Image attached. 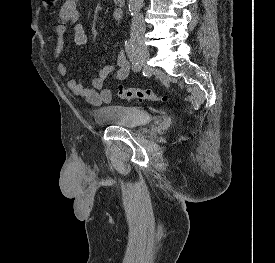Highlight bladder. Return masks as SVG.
<instances>
[{
	"instance_id": "obj_1",
	"label": "bladder",
	"mask_w": 275,
	"mask_h": 263,
	"mask_svg": "<svg viewBox=\"0 0 275 263\" xmlns=\"http://www.w3.org/2000/svg\"><path fill=\"white\" fill-rule=\"evenodd\" d=\"M94 121L99 125H121L135 127L147 124L153 117L150 111L141 107L105 104L92 112Z\"/></svg>"
}]
</instances>
